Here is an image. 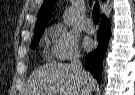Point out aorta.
<instances>
[{
	"label": "aorta",
	"instance_id": "1",
	"mask_svg": "<svg viewBox=\"0 0 135 95\" xmlns=\"http://www.w3.org/2000/svg\"><path fill=\"white\" fill-rule=\"evenodd\" d=\"M73 21V15L71 11H68L65 13V15L63 16V22L66 26H70L72 24Z\"/></svg>",
	"mask_w": 135,
	"mask_h": 95
}]
</instances>
